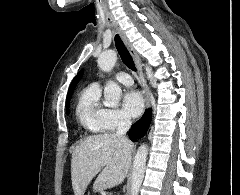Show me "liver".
I'll return each mask as SVG.
<instances>
[{
	"label": "liver",
	"instance_id": "1",
	"mask_svg": "<svg viewBox=\"0 0 240 195\" xmlns=\"http://www.w3.org/2000/svg\"><path fill=\"white\" fill-rule=\"evenodd\" d=\"M132 141L125 143L116 133L89 135L76 145L71 159V179L75 195H84L91 179L96 189H110L125 179L133 153Z\"/></svg>",
	"mask_w": 240,
	"mask_h": 195
}]
</instances>
